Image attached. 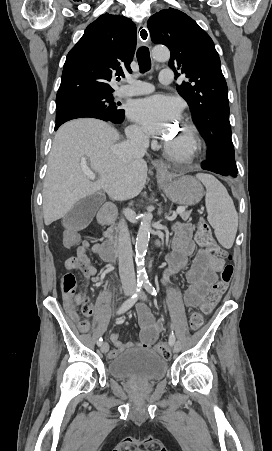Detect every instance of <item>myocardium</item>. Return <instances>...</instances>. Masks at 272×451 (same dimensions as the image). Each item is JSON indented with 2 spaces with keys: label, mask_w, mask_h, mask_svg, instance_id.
Segmentation results:
<instances>
[{
  "label": "myocardium",
  "mask_w": 272,
  "mask_h": 451,
  "mask_svg": "<svg viewBox=\"0 0 272 451\" xmlns=\"http://www.w3.org/2000/svg\"><path fill=\"white\" fill-rule=\"evenodd\" d=\"M187 134L186 141L173 146V153L176 157H182L192 154L197 148L196 131L188 124H184L183 128Z\"/></svg>",
  "instance_id": "f54148a6"
}]
</instances>
